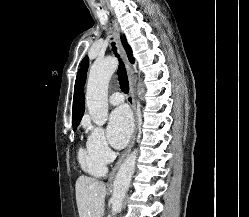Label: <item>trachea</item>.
Segmentation results:
<instances>
[{"label":"trachea","mask_w":249,"mask_h":217,"mask_svg":"<svg viewBox=\"0 0 249 217\" xmlns=\"http://www.w3.org/2000/svg\"><path fill=\"white\" fill-rule=\"evenodd\" d=\"M111 45H112V50L114 51V54L119 59V67H118L117 75H118V80L120 83V88L124 93H128L129 82H128V77H127L125 66L122 60L120 59L119 54H117V48L115 47V43L113 42Z\"/></svg>","instance_id":"obj_1"}]
</instances>
